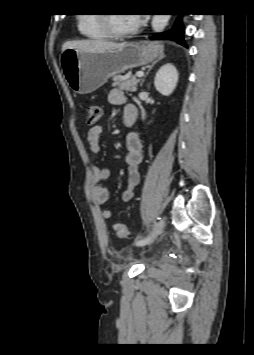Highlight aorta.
I'll use <instances>...</instances> for the list:
<instances>
[{
	"label": "aorta",
	"instance_id": "aorta-1",
	"mask_svg": "<svg viewBox=\"0 0 254 355\" xmlns=\"http://www.w3.org/2000/svg\"><path fill=\"white\" fill-rule=\"evenodd\" d=\"M169 18L170 15H154L152 19L153 31L156 33L162 32L165 29Z\"/></svg>",
	"mask_w": 254,
	"mask_h": 355
}]
</instances>
